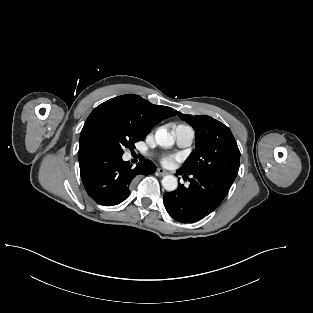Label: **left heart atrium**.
I'll list each match as a JSON object with an SVG mask.
<instances>
[{"instance_id": "39dd6f15", "label": "left heart atrium", "mask_w": 313, "mask_h": 313, "mask_svg": "<svg viewBox=\"0 0 313 313\" xmlns=\"http://www.w3.org/2000/svg\"><path fill=\"white\" fill-rule=\"evenodd\" d=\"M178 156H166L162 159V163L166 166L170 165L174 159H178Z\"/></svg>"}]
</instances>
